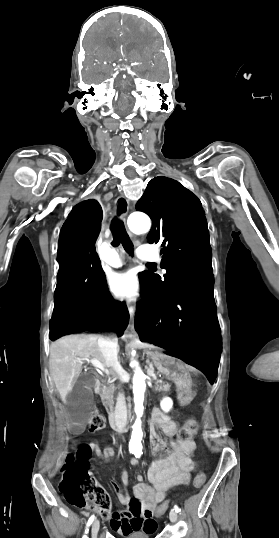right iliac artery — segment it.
<instances>
[{"instance_id": "obj_1", "label": "right iliac artery", "mask_w": 279, "mask_h": 538, "mask_svg": "<svg viewBox=\"0 0 279 538\" xmlns=\"http://www.w3.org/2000/svg\"><path fill=\"white\" fill-rule=\"evenodd\" d=\"M131 453H134L133 451H131ZM94 518L95 516L94 515H91V517L89 518L88 522H87V525H86V528H85V533L83 535L82 538H87V533L89 531V526L92 524V522L94 521Z\"/></svg>"}]
</instances>
